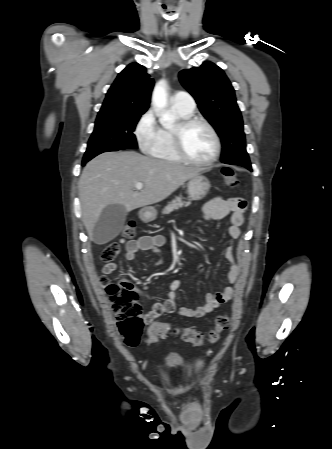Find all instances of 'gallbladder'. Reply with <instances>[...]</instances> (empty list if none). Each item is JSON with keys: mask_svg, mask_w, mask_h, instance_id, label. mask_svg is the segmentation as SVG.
<instances>
[{"mask_svg": "<svg viewBox=\"0 0 332 449\" xmlns=\"http://www.w3.org/2000/svg\"><path fill=\"white\" fill-rule=\"evenodd\" d=\"M126 209L120 204L106 206L96 222L92 238L96 244L102 245L118 236L126 220Z\"/></svg>", "mask_w": 332, "mask_h": 449, "instance_id": "gallbladder-1", "label": "gallbladder"}]
</instances>
